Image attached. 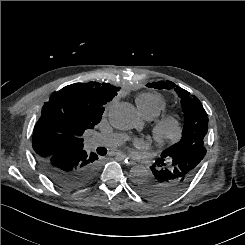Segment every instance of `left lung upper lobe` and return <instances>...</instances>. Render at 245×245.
<instances>
[{
	"instance_id": "5c2ea615",
	"label": "left lung upper lobe",
	"mask_w": 245,
	"mask_h": 245,
	"mask_svg": "<svg viewBox=\"0 0 245 245\" xmlns=\"http://www.w3.org/2000/svg\"><path fill=\"white\" fill-rule=\"evenodd\" d=\"M148 87L155 89H174L181 98L184 112V128L181 140L172 147L164 150L161 158L190 145H204V137L208 130V115L196 96L176 86L171 81L148 83Z\"/></svg>"
}]
</instances>
